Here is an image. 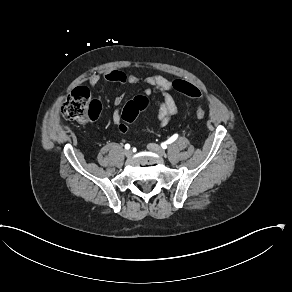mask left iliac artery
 I'll use <instances>...</instances> for the list:
<instances>
[{
    "label": "left iliac artery",
    "instance_id": "44dca946",
    "mask_svg": "<svg viewBox=\"0 0 292 292\" xmlns=\"http://www.w3.org/2000/svg\"><path fill=\"white\" fill-rule=\"evenodd\" d=\"M177 138H178V134H174L166 142L161 144L162 148H166L167 144H170V143L174 142Z\"/></svg>",
    "mask_w": 292,
    "mask_h": 292
}]
</instances>
